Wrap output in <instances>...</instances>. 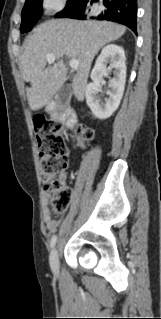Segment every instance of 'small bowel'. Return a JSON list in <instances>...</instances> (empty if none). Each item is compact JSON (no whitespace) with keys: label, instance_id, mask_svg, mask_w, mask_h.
<instances>
[{"label":"small bowel","instance_id":"obj_1","mask_svg":"<svg viewBox=\"0 0 161 319\" xmlns=\"http://www.w3.org/2000/svg\"><path fill=\"white\" fill-rule=\"evenodd\" d=\"M66 179H67V175L65 173L60 176V181L62 183H64ZM43 198L45 201V206L43 208V218L46 224V228L49 231H52L56 229V227L59 225V219L52 218L50 214V210L48 208V202L51 201L52 195L49 193H44Z\"/></svg>","mask_w":161,"mask_h":319}]
</instances>
